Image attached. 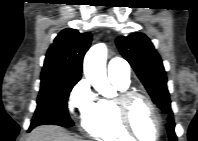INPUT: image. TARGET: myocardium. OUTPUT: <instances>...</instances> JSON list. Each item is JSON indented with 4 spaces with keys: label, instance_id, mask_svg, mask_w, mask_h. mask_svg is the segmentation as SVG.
Wrapping results in <instances>:
<instances>
[{
    "label": "myocardium",
    "instance_id": "myocardium-1",
    "mask_svg": "<svg viewBox=\"0 0 198 141\" xmlns=\"http://www.w3.org/2000/svg\"><path fill=\"white\" fill-rule=\"evenodd\" d=\"M139 99L145 101L152 111L157 126V135L154 141H157L162 135V121L154 101L149 96L134 90L121 91L114 100L118 119L124 130L132 138L142 140L136 133L131 121V109L133 104Z\"/></svg>",
    "mask_w": 198,
    "mask_h": 141
}]
</instances>
